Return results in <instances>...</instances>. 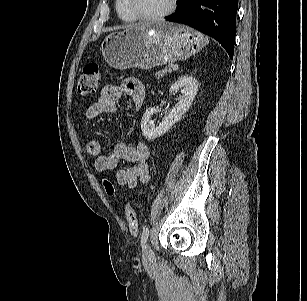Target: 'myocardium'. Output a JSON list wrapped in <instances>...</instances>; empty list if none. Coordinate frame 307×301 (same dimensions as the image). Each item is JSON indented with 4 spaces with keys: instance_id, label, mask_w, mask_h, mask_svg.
Masks as SVG:
<instances>
[{
    "instance_id": "1",
    "label": "myocardium",
    "mask_w": 307,
    "mask_h": 301,
    "mask_svg": "<svg viewBox=\"0 0 307 301\" xmlns=\"http://www.w3.org/2000/svg\"><path fill=\"white\" fill-rule=\"evenodd\" d=\"M177 2L178 0H170L169 6L164 11L160 13L152 14V15H146L139 11L137 6L135 5L134 0H127L128 6L131 12L133 13V15L138 20H142V21H157V20L166 18L167 16L171 15L175 11L177 7Z\"/></svg>"
}]
</instances>
